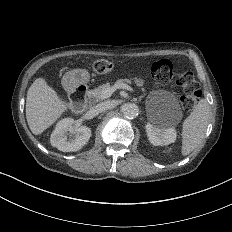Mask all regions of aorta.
Wrapping results in <instances>:
<instances>
[{
    "mask_svg": "<svg viewBox=\"0 0 232 232\" xmlns=\"http://www.w3.org/2000/svg\"><path fill=\"white\" fill-rule=\"evenodd\" d=\"M121 112L126 118H136L139 113V108L133 103H126L121 107Z\"/></svg>",
    "mask_w": 232,
    "mask_h": 232,
    "instance_id": "aorta-1",
    "label": "aorta"
}]
</instances>
